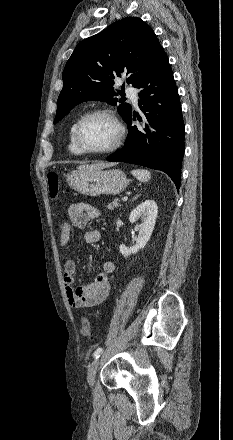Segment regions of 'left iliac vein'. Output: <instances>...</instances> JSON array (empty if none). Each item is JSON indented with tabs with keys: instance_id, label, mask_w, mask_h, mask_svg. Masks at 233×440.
<instances>
[{
	"instance_id": "4c4485c4",
	"label": "left iliac vein",
	"mask_w": 233,
	"mask_h": 440,
	"mask_svg": "<svg viewBox=\"0 0 233 440\" xmlns=\"http://www.w3.org/2000/svg\"><path fill=\"white\" fill-rule=\"evenodd\" d=\"M100 362H101V358H97L90 364L88 368L87 381L90 386H93L95 384L96 372Z\"/></svg>"
}]
</instances>
